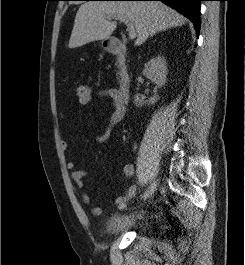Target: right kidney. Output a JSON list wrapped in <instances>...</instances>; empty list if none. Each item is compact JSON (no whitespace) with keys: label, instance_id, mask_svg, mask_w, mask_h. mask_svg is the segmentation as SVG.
<instances>
[{"label":"right kidney","instance_id":"right-kidney-1","mask_svg":"<svg viewBox=\"0 0 245 265\" xmlns=\"http://www.w3.org/2000/svg\"><path fill=\"white\" fill-rule=\"evenodd\" d=\"M143 75L155 83L159 88L162 87L166 82L167 76V66L164 57L158 56L150 59V61L145 65L143 70ZM159 99L158 95H154L147 102L148 105H153ZM136 106L144 105L143 100H141L138 95L134 97Z\"/></svg>","mask_w":245,"mask_h":265}]
</instances>
